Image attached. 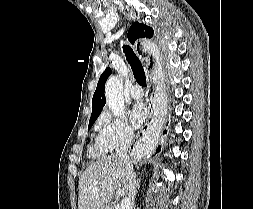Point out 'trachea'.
<instances>
[{
  "instance_id": "obj_1",
  "label": "trachea",
  "mask_w": 253,
  "mask_h": 209,
  "mask_svg": "<svg viewBox=\"0 0 253 209\" xmlns=\"http://www.w3.org/2000/svg\"><path fill=\"white\" fill-rule=\"evenodd\" d=\"M123 48H124V53H125L126 59L131 66V69L133 71V75H134L136 81L138 82V84L146 87L147 85H146L145 71L143 69V66H142L140 60L138 59L136 54L133 52L131 47L123 46Z\"/></svg>"
}]
</instances>
